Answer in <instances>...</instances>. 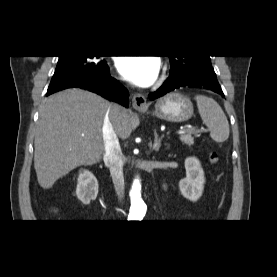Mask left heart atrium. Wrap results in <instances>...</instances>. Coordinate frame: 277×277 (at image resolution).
I'll return each mask as SVG.
<instances>
[{"mask_svg":"<svg viewBox=\"0 0 277 277\" xmlns=\"http://www.w3.org/2000/svg\"><path fill=\"white\" fill-rule=\"evenodd\" d=\"M116 67L125 80L137 86L146 87L155 81L160 63L154 57L124 56L118 58Z\"/></svg>","mask_w":277,"mask_h":277,"instance_id":"obj_1","label":"left heart atrium"}]
</instances>
